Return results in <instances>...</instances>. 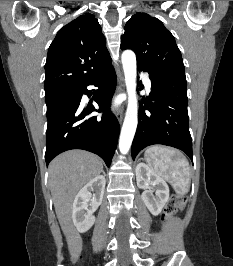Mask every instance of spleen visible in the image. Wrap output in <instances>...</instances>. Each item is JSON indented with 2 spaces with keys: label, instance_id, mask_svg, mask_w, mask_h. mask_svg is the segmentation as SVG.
<instances>
[{
  "label": "spleen",
  "instance_id": "obj_1",
  "mask_svg": "<svg viewBox=\"0 0 233 266\" xmlns=\"http://www.w3.org/2000/svg\"><path fill=\"white\" fill-rule=\"evenodd\" d=\"M144 157L149 167L158 176L167 180L177 194L188 193L191 182L189 163L179 151L152 146L145 151Z\"/></svg>",
  "mask_w": 233,
  "mask_h": 266
}]
</instances>
